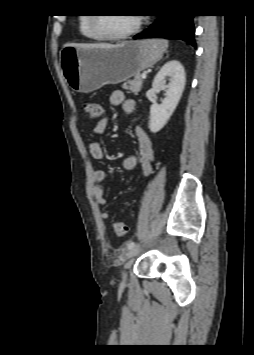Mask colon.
I'll return each mask as SVG.
<instances>
[{"instance_id": "obj_1", "label": "colon", "mask_w": 254, "mask_h": 355, "mask_svg": "<svg viewBox=\"0 0 254 355\" xmlns=\"http://www.w3.org/2000/svg\"><path fill=\"white\" fill-rule=\"evenodd\" d=\"M83 110L91 121L97 120L102 113L101 105L96 102H85L83 104ZM113 230L117 236H124L128 232V227L122 221H115L113 223Z\"/></svg>"}]
</instances>
